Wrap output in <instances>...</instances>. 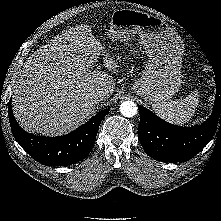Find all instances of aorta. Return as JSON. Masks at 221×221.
Here are the masks:
<instances>
[{"label": "aorta", "mask_w": 221, "mask_h": 221, "mask_svg": "<svg viewBox=\"0 0 221 221\" xmlns=\"http://www.w3.org/2000/svg\"><path fill=\"white\" fill-rule=\"evenodd\" d=\"M137 109V105L133 101H125L120 105L121 114L128 118L135 116Z\"/></svg>", "instance_id": "762f6f07"}]
</instances>
